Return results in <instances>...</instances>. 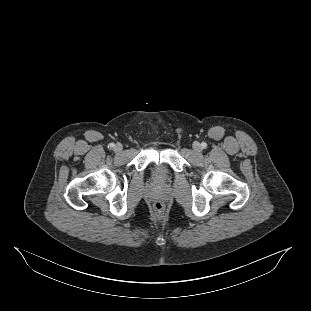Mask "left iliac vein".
I'll return each instance as SVG.
<instances>
[{"label": "left iliac vein", "instance_id": "obj_1", "mask_svg": "<svg viewBox=\"0 0 311 311\" xmlns=\"http://www.w3.org/2000/svg\"><path fill=\"white\" fill-rule=\"evenodd\" d=\"M193 149L195 152H200L202 147L198 142L193 143Z\"/></svg>", "mask_w": 311, "mask_h": 311}]
</instances>
